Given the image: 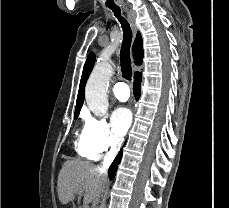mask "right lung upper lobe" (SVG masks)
I'll return each instance as SVG.
<instances>
[{
  "mask_svg": "<svg viewBox=\"0 0 229 208\" xmlns=\"http://www.w3.org/2000/svg\"><path fill=\"white\" fill-rule=\"evenodd\" d=\"M133 56L135 59V64L141 65L143 56H144V52H143L142 37L140 33H137L135 43L133 44ZM94 62H95V55L91 52L86 60V63L83 69V73H82V77H81V81H80V86H79V91H78V96H77V101H76V110H75V117H74L75 119L78 117L79 111L82 107V104L84 101L85 84L92 71ZM137 74L138 72L135 73V75Z\"/></svg>",
  "mask_w": 229,
  "mask_h": 208,
  "instance_id": "obj_1",
  "label": "right lung upper lobe"
}]
</instances>
